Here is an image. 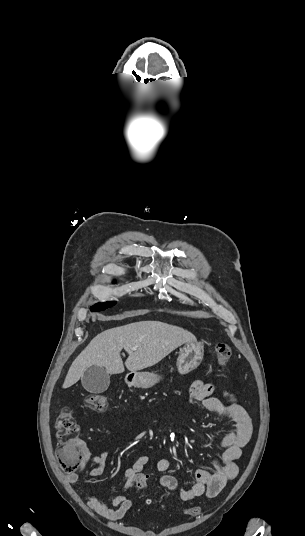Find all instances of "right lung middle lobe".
I'll list each match as a JSON object with an SVG mask.
<instances>
[{"label": "right lung middle lobe", "mask_w": 305, "mask_h": 536, "mask_svg": "<svg viewBox=\"0 0 305 536\" xmlns=\"http://www.w3.org/2000/svg\"><path fill=\"white\" fill-rule=\"evenodd\" d=\"M115 304H116V302L97 303V304L93 305L90 309H91V311H94V312L103 311L106 308L111 307V306H113Z\"/></svg>", "instance_id": "1"}]
</instances>
